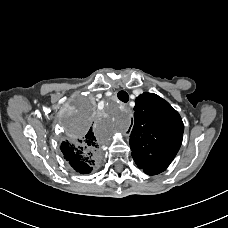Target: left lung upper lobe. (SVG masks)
Returning a JSON list of instances; mask_svg holds the SVG:
<instances>
[{
  "mask_svg": "<svg viewBox=\"0 0 228 228\" xmlns=\"http://www.w3.org/2000/svg\"><path fill=\"white\" fill-rule=\"evenodd\" d=\"M130 148L136 163L152 158L172 161L183 138L184 124L172 106L153 93H143L135 100Z\"/></svg>",
  "mask_w": 228,
  "mask_h": 228,
  "instance_id": "left-lung-upper-lobe-1",
  "label": "left lung upper lobe"
}]
</instances>
